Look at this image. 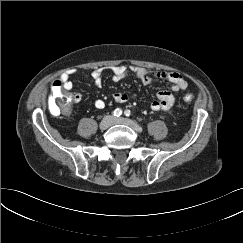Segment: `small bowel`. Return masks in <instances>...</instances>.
<instances>
[{"label": "small bowel", "instance_id": "obj_1", "mask_svg": "<svg viewBox=\"0 0 243 243\" xmlns=\"http://www.w3.org/2000/svg\"><path fill=\"white\" fill-rule=\"evenodd\" d=\"M109 71L111 72L112 78L115 82L122 80L129 74L134 75L144 85L151 84L157 79L170 82L172 84L170 89L159 91L157 93L156 100L150 103V108L154 111H166L170 109L175 102L176 95L187 88L186 79L183 77V75L177 72L151 73L141 67H126L124 65L109 67ZM71 75L72 72H66L60 76L59 80H57L67 91H70L73 88V83L70 80ZM102 76L103 69H96L91 72L90 77L95 86L100 87L102 85ZM73 98L74 103H78L81 100V94H73ZM113 99L116 103L122 104L129 100V96L126 93L117 92L113 95ZM94 106L97 109H103L105 107V102L102 99H97L94 102Z\"/></svg>", "mask_w": 243, "mask_h": 243}]
</instances>
